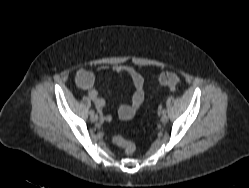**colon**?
Returning a JSON list of instances; mask_svg holds the SVG:
<instances>
[{"label":"colon","mask_w":249,"mask_h":188,"mask_svg":"<svg viewBox=\"0 0 249 188\" xmlns=\"http://www.w3.org/2000/svg\"><path fill=\"white\" fill-rule=\"evenodd\" d=\"M159 81L162 85L173 89L177 88L180 83V79L177 74L171 71L161 73ZM111 141L113 144L123 147L127 154H131L135 150L134 144L121 136H114Z\"/></svg>","instance_id":"colon-1"}]
</instances>
